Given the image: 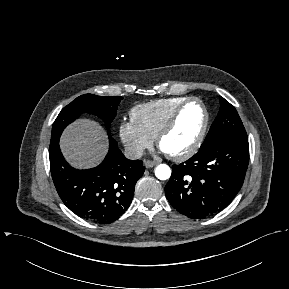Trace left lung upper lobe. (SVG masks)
I'll list each match as a JSON object with an SVG mask.
<instances>
[{"mask_svg":"<svg viewBox=\"0 0 289 289\" xmlns=\"http://www.w3.org/2000/svg\"><path fill=\"white\" fill-rule=\"evenodd\" d=\"M224 134L247 137L243 123L234 106L223 97H220L219 113L214 120L204 143Z\"/></svg>","mask_w":289,"mask_h":289,"instance_id":"1","label":"left lung upper lobe"}]
</instances>
